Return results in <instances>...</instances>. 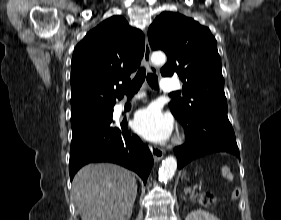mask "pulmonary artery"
Listing matches in <instances>:
<instances>
[{
    "instance_id": "e3ab8cb5",
    "label": "pulmonary artery",
    "mask_w": 281,
    "mask_h": 220,
    "mask_svg": "<svg viewBox=\"0 0 281 220\" xmlns=\"http://www.w3.org/2000/svg\"><path fill=\"white\" fill-rule=\"evenodd\" d=\"M161 89L163 91H175L180 89V83L171 78H163L161 80Z\"/></svg>"
}]
</instances>
